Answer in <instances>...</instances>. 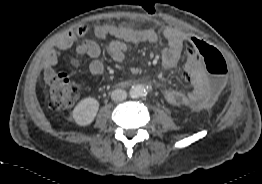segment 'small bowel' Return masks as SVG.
I'll return each mask as SVG.
<instances>
[{"instance_id": "1", "label": "small bowel", "mask_w": 262, "mask_h": 184, "mask_svg": "<svg viewBox=\"0 0 262 184\" xmlns=\"http://www.w3.org/2000/svg\"><path fill=\"white\" fill-rule=\"evenodd\" d=\"M90 29L86 25L79 26L74 32H67L61 35L57 41V50H52L45 57V72L51 74L54 66L58 62L60 52L69 50L76 42L77 38H85ZM98 38H104L108 35L116 39L111 41L107 46V52L110 58L121 63L126 58V52L132 45L139 43H156L159 39L158 33L152 29H133L111 24L97 25L93 29ZM189 33L177 28H166L163 36L167 46L162 51V64L170 69L175 67L180 58L184 47L183 57L186 64L182 66V75L186 82L193 83L189 92L179 90H168L165 92V100L173 106H189L194 111H202L208 108L213 101L207 96L208 86L204 73V65L196 57L191 44L186 43V37ZM76 51L80 55L87 56L91 59L89 71L92 75H101L104 71V64L100 59L101 49L91 40L81 41Z\"/></svg>"}]
</instances>
